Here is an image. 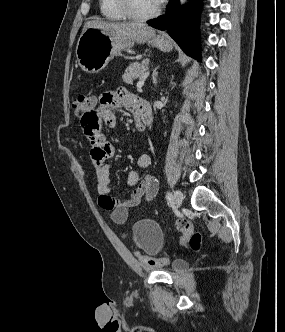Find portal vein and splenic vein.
<instances>
[{"mask_svg": "<svg viewBox=\"0 0 285 332\" xmlns=\"http://www.w3.org/2000/svg\"><path fill=\"white\" fill-rule=\"evenodd\" d=\"M147 76H148V73H146L144 75V77L138 81V83H137V89H141L143 87L144 81L147 78Z\"/></svg>", "mask_w": 285, "mask_h": 332, "instance_id": "18ae733b", "label": "portal vein and splenic vein"}]
</instances>
